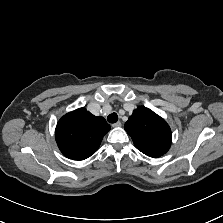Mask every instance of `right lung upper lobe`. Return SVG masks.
<instances>
[{"instance_id":"cb5924a9","label":"right lung upper lobe","mask_w":223,"mask_h":223,"mask_svg":"<svg viewBox=\"0 0 223 223\" xmlns=\"http://www.w3.org/2000/svg\"><path fill=\"white\" fill-rule=\"evenodd\" d=\"M110 125L101 116H94L79 108L63 116L55 131V138L62 154L73 160H84L93 155Z\"/></svg>"}]
</instances>
